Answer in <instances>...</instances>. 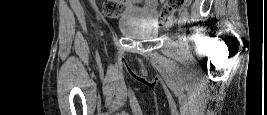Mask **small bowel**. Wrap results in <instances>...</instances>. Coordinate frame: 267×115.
<instances>
[{"label":"small bowel","mask_w":267,"mask_h":115,"mask_svg":"<svg viewBox=\"0 0 267 115\" xmlns=\"http://www.w3.org/2000/svg\"><path fill=\"white\" fill-rule=\"evenodd\" d=\"M128 6L130 9H141L146 12L149 18H157L158 0H146L142 5H136L134 1H129Z\"/></svg>","instance_id":"c3829d8e"}]
</instances>
